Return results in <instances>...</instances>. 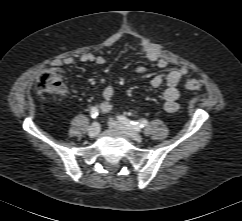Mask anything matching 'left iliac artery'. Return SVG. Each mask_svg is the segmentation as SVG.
Returning <instances> with one entry per match:
<instances>
[{
    "label": "left iliac artery",
    "instance_id": "obj_1",
    "mask_svg": "<svg viewBox=\"0 0 242 221\" xmlns=\"http://www.w3.org/2000/svg\"><path fill=\"white\" fill-rule=\"evenodd\" d=\"M120 122L128 126L130 129H134L135 131H139L141 128L148 125V121L145 119L140 120L139 122L130 121L124 116L117 117Z\"/></svg>",
    "mask_w": 242,
    "mask_h": 221
}]
</instances>
